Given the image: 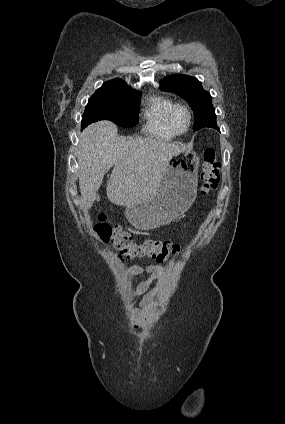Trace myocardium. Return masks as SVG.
<instances>
[{
	"label": "myocardium",
	"instance_id": "obj_1",
	"mask_svg": "<svg viewBox=\"0 0 285 424\" xmlns=\"http://www.w3.org/2000/svg\"><path fill=\"white\" fill-rule=\"evenodd\" d=\"M179 109L184 110L187 113V116H188V125H187V128L184 131L178 130L176 128L175 124H174V115H175L176 111L179 110ZM168 123H169V126L174 133H176L178 135L187 133L190 130V127H191V124H192L191 109L183 103H175L174 106L171 108V110L169 112Z\"/></svg>",
	"mask_w": 285,
	"mask_h": 424
}]
</instances>
